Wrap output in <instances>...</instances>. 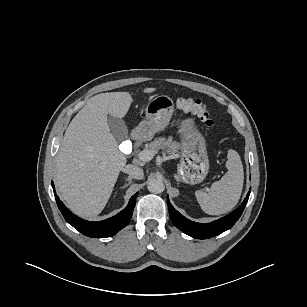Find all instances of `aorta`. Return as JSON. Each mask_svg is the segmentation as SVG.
<instances>
[{
	"label": "aorta",
	"instance_id": "762f6f07",
	"mask_svg": "<svg viewBox=\"0 0 307 307\" xmlns=\"http://www.w3.org/2000/svg\"><path fill=\"white\" fill-rule=\"evenodd\" d=\"M148 190L152 193L159 194L162 193L165 189V185L160 179H150L148 181Z\"/></svg>",
	"mask_w": 307,
	"mask_h": 307
}]
</instances>
